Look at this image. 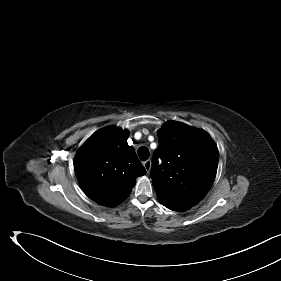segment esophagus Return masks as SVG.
I'll use <instances>...</instances> for the list:
<instances>
[{
    "instance_id": "esophagus-1",
    "label": "esophagus",
    "mask_w": 281,
    "mask_h": 281,
    "mask_svg": "<svg viewBox=\"0 0 281 281\" xmlns=\"http://www.w3.org/2000/svg\"><path fill=\"white\" fill-rule=\"evenodd\" d=\"M143 166H144V168L146 169V171L149 172L150 169H151V160H146V161H144V162H143Z\"/></svg>"
}]
</instances>
